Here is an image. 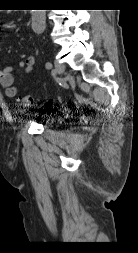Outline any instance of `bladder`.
Segmentation results:
<instances>
[{
	"label": "bladder",
	"instance_id": "obj_1",
	"mask_svg": "<svg viewBox=\"0 0 138 253\" xmlns=\"http://www.w3.org/2000/svg\"><path fill=\"white\" fill-rule=\"evenodd\" d=\"M52 122H53V121H52V120H50L48 123H49V124H51Z\"/></svg>",
	"mask_w": 138,
	"mask_h": 253
}]
</instances>
